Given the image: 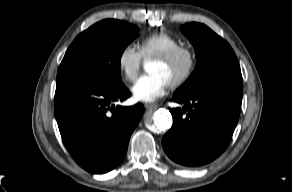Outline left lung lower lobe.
<instances>
[{"label":"left lung lower lobe","instance_id":"0a47b994","mask_svg":"<svg viewBox=\"0 0 292 192\" xmlns=\"http://www.w3.org/2000/svg\"><path fill=\"white\" fill-rule=\"evenodd\" d=\"M242 90L212 89L181 96L173 101L184 107L169 109L173 125L162 139L167 156L189 167L207 164L227 148L236 127Z\"/></svg>","mask_w":292,"mask_h":192}]
</instances>
